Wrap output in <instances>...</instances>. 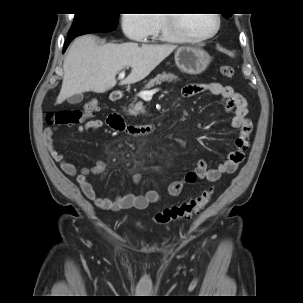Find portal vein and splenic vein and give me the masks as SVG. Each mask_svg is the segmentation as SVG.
Instances as JSON below:
<instances>
[{
  "label": "portal vein and splenic vein",
  "instance_id": "18ae733b",
  "mask_svg": "<svg viewBox=\"0 0 303 303\" xmlns=\"http://www.w3.org/2000/svg\"><path fill=\"white\" fill-rule=\"evenodd\" d=\"M125 76V71H122L119 74V78H123ZM157 91H159V89H153V90H145L139 93V96L143 99V100H150L152 99V96L154 93H156Z\"/></svg>",
  "mask_w": 303,
  "mask_h": 303
}]
</instances>
